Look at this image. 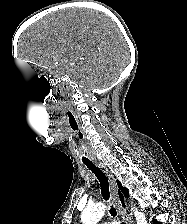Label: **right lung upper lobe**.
Here are the masks:
<instances>
[{"label":"right lung upper lobe","mask_w":187,"mask_h":224,"mask_svg":"<svg viewBox=\"0 0 187 224\" xmlns=\"http://www.w3.org/2000/svg\"><path fill=\"white\" fill-rule=\"evenodd\" d=\"M119 194H120V199L123 200V196H122V194H121V193H119ZM123 206H125L124 203H123Z\"/></svg>","instance_id":"1"}]
</instances>
